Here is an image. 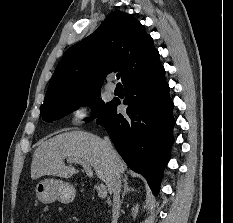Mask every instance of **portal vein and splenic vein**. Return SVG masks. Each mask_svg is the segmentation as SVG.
Returning a JSON list of instances; mask_svg holds the SVG:
<instances>
[{
	"mask_svg": "<svg viewBox=\"0 0 233 223\" xmlns=\"http://www.w3.org/2000/svg\"><path fill=\"white\" fill-rule=\"evenodd\" d=\"M76 163H80V165H82V167H86V169H90L91 171V167L90 165H88V163H84V161H81V159H77ZM89 177H93V173H89ZM98 187V195L99 197H101V199H103V197H106L107 195V191L105 189V185H103V183H99V185H97Z\"/></svg>",
	"mask_w": 233,
	"mask_h": 223,
	"instance_id": "obj_1",
	"label": "portal vein and splenic vein"
}]
</instances>
